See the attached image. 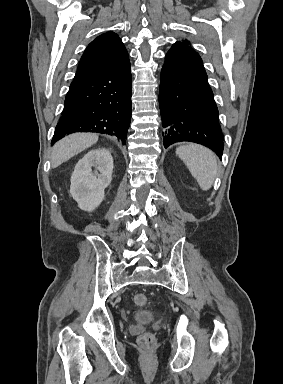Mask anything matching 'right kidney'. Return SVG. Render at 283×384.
Instances as JSON below:
<instances>
[{
	"label": "right kidney",
	"mask_w": 283,
	"mask_h": 384,
	"mask_svg": "<svg viewBox=\"0 0 283 384\" xmlns=\"http://www.w3.org/2000/svg\"><path fill=\"white\" fill-rule=\"evenodd\" d=\"M92 166L96 168L95 172H92ZM113 168V158L105 148L91 150L79 160L71 176L70 194L80 210L93 212L100 206L104 190L112 182Z\"/></svg>",
	"instance_id": "1"
}]
</instances>
